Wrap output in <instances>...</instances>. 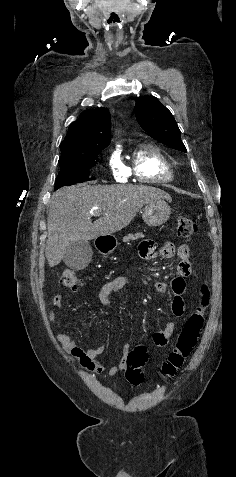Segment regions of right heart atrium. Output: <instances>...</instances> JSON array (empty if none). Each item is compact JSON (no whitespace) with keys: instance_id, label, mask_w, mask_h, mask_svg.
<instances>
[{"instance_id":"right-heart-atrium-1","label":"right heart atrium","mask_w":236,"mask_h":477,"mask_svg":"<svg viewBox=\"0 0 236 477\" xmlns=\"http://www.w3.org/2000/svg\"><path fill=\"white\" fill-rule=\"evenodd\" d=\"M109 167L116 180L124 182L129 176L127 168L121 163L117 156H112L109 159Z\"/></svg>"}]
</instances>
